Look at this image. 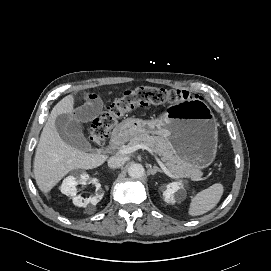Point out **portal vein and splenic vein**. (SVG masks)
Masks as SVG:
<instances>
[{
    "mask_svg": "<svg viewBox=\"0 0 271 271\" xmlns=\"http://www.w3.org/2000/svg\"><path fill=\"white\" fill-rule=\"evenodd\" d=\"M138 149H142V150H147L153 157L154 159L156 160V162L158 163V165L162 168L163 172L169 176L170 178H173V179H176L177 176L173 175L165 166V164L161 161V159L156 155V153L154 152V150L145 145V144H137V145H134L132 147H124V148H121L117 151L118 154H130L132 152H135L136 150ZM192 180H200V178H192Z\"/></svg>",
    "mask_w": 271,
    "mask_h": 271,
    "instance_id": "obj_1",
    "label": "portal vein and splenic vein"
}]
</instances>
